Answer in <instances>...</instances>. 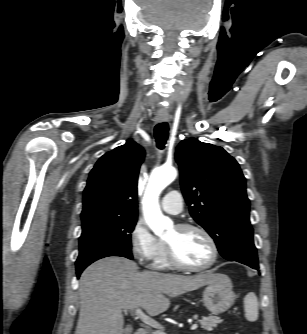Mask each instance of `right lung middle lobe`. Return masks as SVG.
<instances>
[{"label":"right lung middle lobe","instance_id":"right-lung-middle-lobe-1","mask_svg":"<svg viewBox=\"0 0 307 334\" xmlns=\"http://www.w3.org/2000/svg\"><path fill=\"white\" fill-rule=\"evenodd\" d=\"M137 217L92 215L82 217L77 270H84L94 261L108 256L132 259L130 233Z\"/></svg>","mask_w":307,"mask_h":334}]
</instances>
